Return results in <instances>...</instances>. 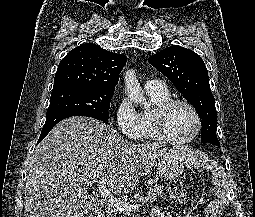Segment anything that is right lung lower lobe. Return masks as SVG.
<instances>
[{
	"instance_id": "1",
	"label": "right lung lower lobe",
	"mask_w": 255,
	"mask_h": 217,
	"mask_svg": "<svg viewBox=\"0 0 255 217\" xmlns=\"http://www.w3.org/2000/svg\"><path fill=\"white\" fill-rule=\"evenodd\" d=\"M72 116H84V115H80V114H76V113H72V112H68V111H60V112H56V113L46 116V122L42 128L41 135L39 137L37 144L40 143L47 136L49 131L58 122H60L61 120L65 119V118L72 117Z\"/></svg>"
}]
</instances>
